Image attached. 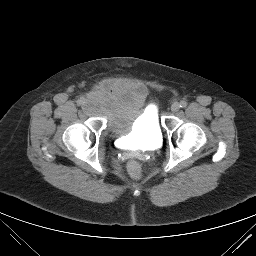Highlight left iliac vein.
Returning <instances> with one entry per match:
<instances>
[{
	"label": "left iliac vein",
	"instance_id": "1",
	"mask_svg": "<svg viewBox=\"0 0 256 256\" xmlns=\"http://www.w3.org/2000/svg\"><path fill=\"white\" fill-rule=\"evenodd\" d=\"M179 109H180V105H179L178 102H174V103L171 105V111H172V112H177Z\"/></svg>",
	"mask_w": 256,
	"mask_h": 256
}]
</instances>
